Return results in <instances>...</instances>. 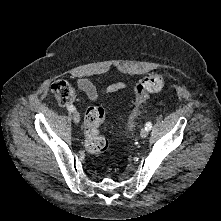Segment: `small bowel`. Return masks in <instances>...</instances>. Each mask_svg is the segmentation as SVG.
Wrapping results in <instances>:
<instances>
[{"label":"small bowel","mask_w":221,"mask_h":221,"mask_svg":"<svg viewBox=\"0 0 221 221\" xmlns=\"http://www.w3.org/2000/svg\"><path fill=\"white\" fill-rule=\"evenodd\" d=\"M78 85L86 93L87 97L90 100L94 101L97 99L98 95H97L96 88L94 87V85L90 81H88L87 79H79ZM126 87H127L126 83L116 82V83L109 85L106 89V92L113 93V92L119 91L121 89H124Z\"/></svg>","instance_id":"small-bowel-1"}]
</instances>
